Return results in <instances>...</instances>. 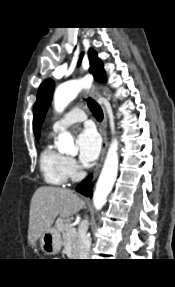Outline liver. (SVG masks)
Masks as SVG:
<instances>
[{"label": "liver", "mask_w": 175, "mask_h": 287, "mask_svg": "<svg viewBox=\"0 0 175 287\" xmlns=\"http://www.w3.org/2000/svg\"><path fill=\"white\" fill-rule=\"evenodd\" d=\"M85 207V201L70 189L41 186L30 202L28 242L30 245L49 230L59 215L69 218Z\"/></svg>", "instance_id": "obj_1"}]
</instances>
